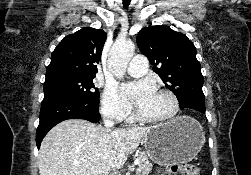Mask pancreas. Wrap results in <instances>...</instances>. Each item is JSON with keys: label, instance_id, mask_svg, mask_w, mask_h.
I'll return each instance as SVG.
<instances>
[{"label": "pancreas", "instance_id": "obj_1", "mask_svg": "<svg viewBox=\"0 0 251 175\" xmlns=\"http://www.w3.org/2000/svg\"><path fill=\"white\" fill-rule=\"evenodd\" d=\"M139 167L137 169L136 175H148L152 169V163L149 161V157L145 155V151H139Z\"/></svg>", "mask_w": 251, "mask_h": 175}]
</instances>
